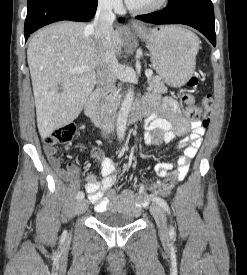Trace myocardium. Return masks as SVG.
<instances>
[{
	"instance_id": "1",
	"label": "myocardium",
	"mask_w": 247,
	"mask_h": 275,
	"mask_svg": "<svg viewBox=\"0 0 247 275\" xmlns=\"http://www.w3.org/2000/svg\"><path fill=\"white\" fill-rule=\"evenodd\" d=\"M127 3V7L129 8L130 11L137 13V14H149V13H153L156 11L161 10L163 7L166 6V4L168 3V0H160L159 2L149 6V7H145V8H136L133 7L129 1L126 0Z\"/></svg>"
}]
</instances>
